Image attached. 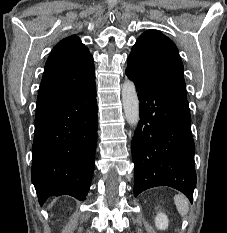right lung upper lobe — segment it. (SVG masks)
<instances>
[{
	"instance_id": "1",
	"label": "right lung upper lobe",
	"mask_w": 227,
	"mask_h": 233,
	"mask_svg": "<svg viewBox=\"0 0 227 233\" xmlns=\"http://www.w3.org/2000/svg\"><path fill=\"white\" fill-rule=\"evenodd\" d=\"M95 82L94 61L78 36L62 39L51 51L40 84L36 114Z\"/></svg>"
}]
</instances>
